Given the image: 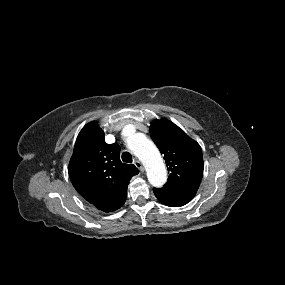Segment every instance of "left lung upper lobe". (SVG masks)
I'll return each mask as SVG.
<instances>
[{
    "instance_id": "1",
    "label": "left lung upper lobe",
    "mask_w": 285,
    "mask_h": 285,
    "mask_svg": "<svg viewBox=\"0 0 285 285\" xmlns=\"http://www.w3.org/2000/svg\"><path fill=\"white\" fill-rule=\"evenodd\" d=\"M150 135L170 173L164 187L197 192L204 169L199 144L169 120H154Z\"/></svg>"
}]
</instances>
